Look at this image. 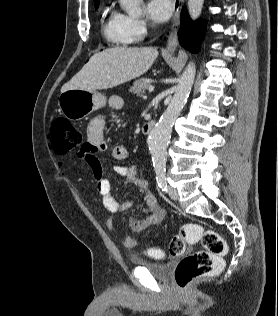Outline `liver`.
Segmentation results:
<instances>
[{
	"mask_svg": "<svg viewBox=\"0 0 278 316\" xmlns=\"http://www.w3.org/2000/svg\"><path fill=\"white\" fill-rule=\"evenodd\" d=\"M158 57L155 47H115L94 54L61 89H109L143 75Z\"/></svg>",
	"mask_w": 278,
	"mask_h": 316,
	"instance_id": "obj_1",
	"label": "liver"
}]
</instances>
